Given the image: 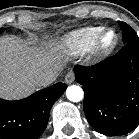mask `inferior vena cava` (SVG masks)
Instances as JSON below:
<instances>
[{"instance_id":"inferior-vena-cava-1","label":"inferior vena cava","mask_w":139,"mask_h":139,"mask_svg":"<svg viewBox=\"0 0 139 139\" xmlns=\"http://www.w3.org/2000/svg\"><path fill=\"white\" fill-rule=\"evenodd\" d=\"M57 75L55 71L43 72L37 77L35 84L37 87H47L56 80Z\"/></svg>"}]
</instances>
